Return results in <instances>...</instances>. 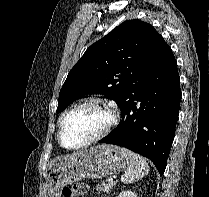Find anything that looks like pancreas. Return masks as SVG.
<instances>
[{"mask_svg":"<svg viewBox=\"0 0 209 197\" xmlns=\"http://www.w3.org/2000/svg\"><path fill=\"white\" fill-rule=\"evenodd\" d=\"M114 186V183H107L105 181L101 182L100 185L96 186V191L98 192H109L112 187Z\"/></svg>","mask_w":209,"mask_h":197,"instance_id":"pancreas-1","label":"pancreas"}]
</instances>
